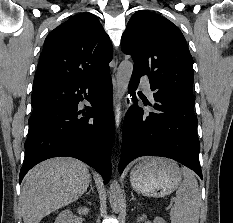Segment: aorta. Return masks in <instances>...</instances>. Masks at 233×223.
<instances>
[{"mask_svg": "<svg viewBox=\"0 0 233 223\" xmlns=\"http://www.w3.org/2000/svg\"><path fill=\"white\" fill-rule=\"evenodd\" d=\"M132 72V62H121L117 72V84L119 86L121 100L127 90V86L130 82ZM122 197L123 193L120 187V183H118L117 179H113L112 183H110L109 193V199L111 207H113V209H118V207H120Z\"/></svg>", "mask_w": 233, "mask_h": 223, "instance_id": "1", "label": "aorta"}]
</instances>
